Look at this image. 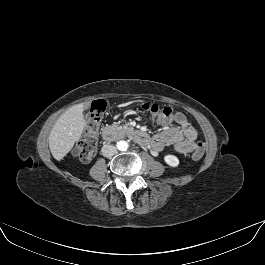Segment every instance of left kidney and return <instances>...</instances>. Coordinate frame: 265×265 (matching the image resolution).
Listing matches in <instances>:
<instances>
[{"instance_id": "5707ae66", "label": "left kidney", "mask_w": 265, "mask_h": 265, "mask_svg": "<svg viewBox=\"0 0 265 265\" xmlns=\"http://www.w3.org/2000/svg\"><path fill=\"white\" fill-rule=\"evenodd\" d=\"M164 161L171 167H177L179 165V159L174 155H166Z\"/></svg>"}]
</instances>
